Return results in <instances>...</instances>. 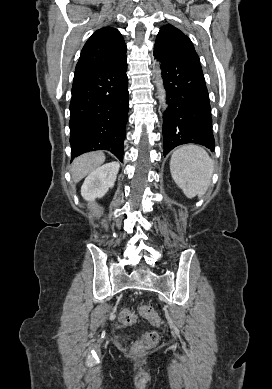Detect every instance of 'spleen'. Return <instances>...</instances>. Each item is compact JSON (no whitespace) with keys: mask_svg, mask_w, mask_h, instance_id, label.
<instances>
[{"mask_svg":"<svg viewBox=\"0 0 272 389\" xmlns=\"http://www.w3.org/2000/svg\"><path fill=\"white\" fill-rule=\"evenodd\" d=\"M213 170V161L202 147L181 146L171 156L172 178L188 198L205 194L210 185Z\"/></svg>","mask_w":272,"mask_h":389,"instance_id":"spleen-1","label":"spleen"}]
</instances>
